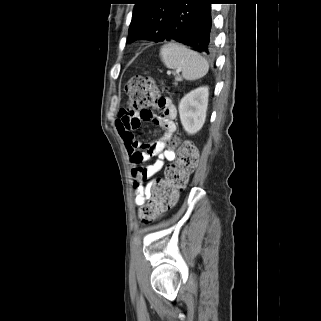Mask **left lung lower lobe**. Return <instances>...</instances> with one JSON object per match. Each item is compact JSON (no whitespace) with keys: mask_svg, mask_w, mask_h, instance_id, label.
Segmentation results:
<instances>
[{"mask_svg":"<svg viewBox=\"0 0 321 321\" xmlns=\"http://www.w3.org/2000/svg\"><path fill=\"white\" fill-rule=\"evenodd\" d=\"M214 3L216 0H177L162 41H176L210 54L214 49L211 15Z\"/></svg>","mask_w":321,"mask_h":321,"instance_id":"1","label":"left lung lower lobe"}]
</instances>
